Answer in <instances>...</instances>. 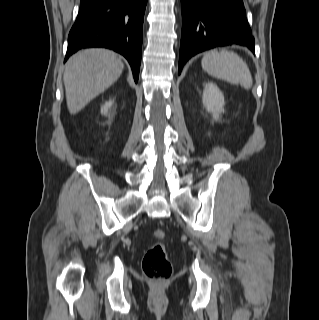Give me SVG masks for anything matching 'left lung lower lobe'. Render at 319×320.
<instances>
[{
  "mask_svg": "<svg viewBox=\"0 0 319 320\" xmlns=\"http://www.w3.org/2000/svg\"><path fill=\"white\" fill-rule=\"evenodd\" d=\"M182 36L178 72L195 54L238 44L254 53V38L242 0H181Z\"/></svg>",
  "mask_w": 319,
  "mask_h": 320,
  "instance_id": "0a47b994",
  "label": "left lung lower lobe"
}]
</instances>
